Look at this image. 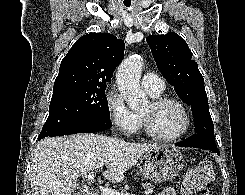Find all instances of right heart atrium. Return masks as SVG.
I'll use <instances>...</instances> for the list:
<instances>
[{"mask_svg": "<svg viewBox=\"0 0 245 195\" xmlns=\"http://www.w3.org/2000/svg\"><path fill=\"white\" fill-rule=\"evenodd\" d=\"M105 104L108 118L115 130L123 135L133 134L139 125L136 113L131 111L116 89L106 92Z\"/></svg>", "mask_w": 245, "mask_h": 195, "instance_id": "right-heart-atrium-1", "label": "right heart atrium"}]
</instances>
